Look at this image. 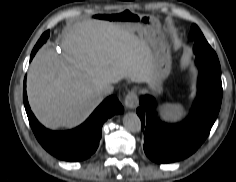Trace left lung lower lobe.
<instances>
[{"label": "left lung lower lobe", "instance_id": "0a47b994", "mask_svg": "<svg viewBox=\"0 0 236 182\" xmlns=\"http://www.w3.org/2000/svg\"><path fill=\"white\" fill-rule=\"evenodd\" d=\"M196 100L188 117L177 124L162 123L155 117L152 96L140 99L137 114L144 130V152L156 163H171L193 154L208 136L222 101L221 75L200 69Z\"/></svg>", "mask_w": 236, "mask_h": 182}]
</instances>
